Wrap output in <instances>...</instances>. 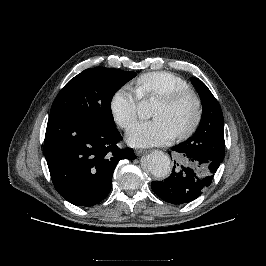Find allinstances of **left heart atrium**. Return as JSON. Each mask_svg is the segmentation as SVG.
I'll return each mask as SVG.
<instances>
[{
    "label": "left heart atrium",
    "mask_w": 266,
    "mask_h": 266,
    "mask_svg": "<svg viewBox=\"0 0 266 266\" xmlns=\"http://www.w3.org/2000/svg\"><path fill=\"white\" fill-rule=\"evenodd\" d=\"M176 133L164 118L140 121L133 124L127 132L129 144L138 147L163 145L174 139Z\"/></svg>",
    "instance_id": "obj_1"
}]
</instances>
